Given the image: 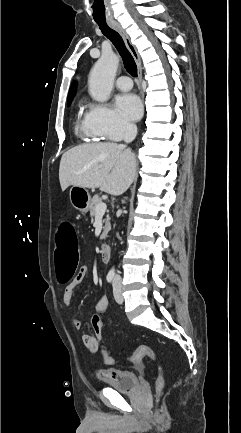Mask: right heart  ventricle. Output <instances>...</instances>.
Returning a JSON list of instances; mask_svg holds the SVG:
<instances>
[{"label": "right heart ventricle", "instance_id": "obj_1", "mask_svg": "<svg viewBox=\"0 0 241 433\" xmlns=\"http://www.w3.org/2000/svg\"><path fill=\"white\" fill-rule=\"evenodd\" d=\"M76 129L79 135L88 141H100L102 139L101 136L94 134L90 130L86 120V115L84 116L80 115L78 117Z\"/></svg>", "mask_w": 241, "mask_h": 433}]
</instances>
